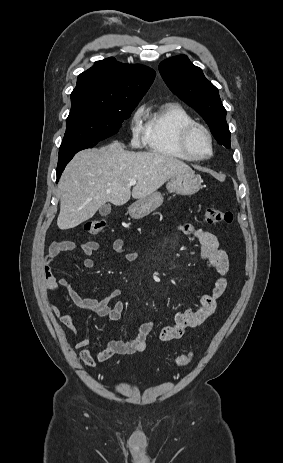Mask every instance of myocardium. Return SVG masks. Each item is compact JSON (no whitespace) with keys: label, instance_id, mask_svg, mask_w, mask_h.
I'll use <instances>...</instances> for the list:
<instances>
[{"label":"myocardium","instance_id":"f54148a6","mask_svg":"<svg viewBox=\"0 0 283 463\" xmlns=\"http://www.w3.org/2000/svg\"><path fill=\"white\" fill-rule=\"evenodd\" d=\"M202 131L208 138L210 145V153L206 156H200L196 154L191 146V137L195 131ZM180 146L182 150L192 159V160H206L212 157L214 153V138L211 131L203 124L198 122H193L186 126L180 134Z\"/></svg>","mask_w":283,"mask_h":463}]
</instances>
